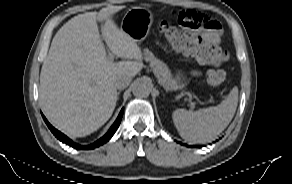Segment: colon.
<instances>
[{"mask_svg":"<svg viewBox=\"0 0 292 184\" xmlns=\"http://www.w3.org/2000/svg\"><path fill=\"white\" fill-rule=\"evenodd\" d=\"M175 16L178 23L190 31L218 28L216 20L199 11L182 10ZM161 29L174 49L195 57L203 64L219 66L228 57L227 52L217 45L195 36H188L168 23H163ZM206 78L209 85L218 87L225 80V72L221 69H211L207 72Z\"/></svg>","mask_w":292,"mask_h":184,"instance_id":"5ec220e1","label":"colon"}]
</instances>
